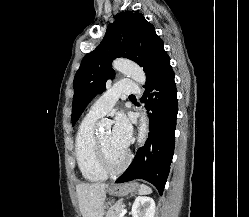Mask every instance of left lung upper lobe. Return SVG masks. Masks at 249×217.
Wrapping results in <instances>:
<instances>
[{"label": "left lung upper lobe", "instance_id": "obj_1", "mask_svg": "<svg viewBox=\"0 0 249 217\" xmlns=\"http://www.w3.org/2000/svg\"><path fill=\"white\" fill-rule=\"evenodd\" d=\"M117 57L129 58L143 67L147 85L168 55L154 26L142 14L120 13L108 26L99 46L84 56L76 72L72 126L92 98L105 90L107 80L114 78L111 62Z\"/></svg>", "mask_w": 249, "mask_h": 217}]
</instances>
